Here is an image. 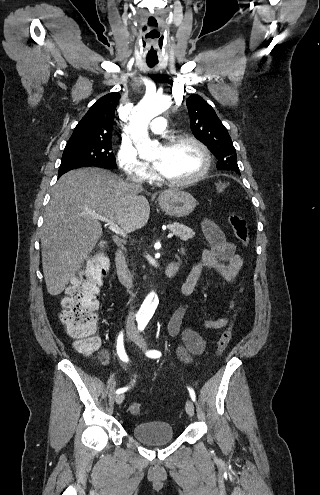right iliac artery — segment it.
<instances>
[{"label":"right iliac artery","mask_w":320,"mask_h":495,"mask_svg":"<svg viewBox=\"0 0 320 495\" xmlns=\"http://www.w3.org/2000/svg\"><path fill=\"white\" fill-rule=\"evenodd\" d=\"M117 353H118L119 358L122 361L128 362V356L126 354L124 344H123V333H120V335L118 336V339H117ZM127 389H128V387L119 388L116 391V393L117 394L124 393L125 391H127Z\"/></svg>","instance_id":"right-iliac-artery-1"}]
</instances>
